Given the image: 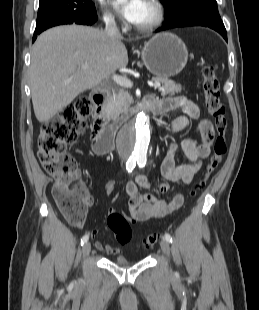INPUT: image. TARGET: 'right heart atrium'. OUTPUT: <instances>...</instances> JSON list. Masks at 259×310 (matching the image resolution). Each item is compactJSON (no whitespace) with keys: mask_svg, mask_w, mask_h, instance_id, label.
Listing matches in <instances>:
<instances>
[{"mask_svg":"<svg viewBox=\"0 0 259 310\" xmlns=\"http://www.w3.org/2000/svg\"><path fill=\"white\" fill-rule=\"evenodd\" d=\"M102 16H103V19H104L105 23L109 27H113V26H115L117 24L116 17L111 12L106 10L103 5H102Z\"/></svg>","mask_w":259,"mask_h":310,"instance_id":"d8ad5b80","label":"right heart atrium"}]
</instances>
